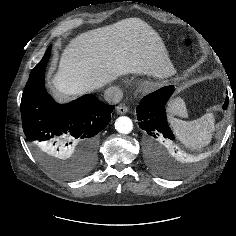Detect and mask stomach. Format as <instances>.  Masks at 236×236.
Masks as SVG:
<instances>
[{"label": "stomach", "mask_w": 236, "mask_h": 236, "mask_svg": "<svg viewBox=\"0 0 236 236\" xmlns=\"http://www.w3.org/2000/svg\"><path fill=\"white\" fill-rule=\"evenodd\" d=\"M178 114H180V115H184L183 112H180V113H178Z\"/></svg>", "instance_id": "1"}]
</instances>
